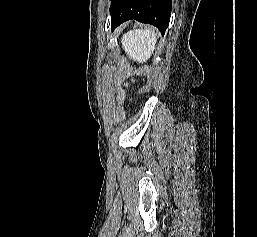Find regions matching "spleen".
<instances>
[{"mask_svg": "<svg viewBox=\"0 0 257 237\" xmlns=\"http://www.w3.org/2000/svg\"><path fill=\"white\" fill-rule=\"evenodd\" d=\"M156 42L157 33L149 28L130 30L122 38L125 52L139 63L146 62L151 57Z\"/></svg>", "mask_w": 257, "mask_h": 237, "instance_id": "3e777b00", "label": "spleen"}]
</instances>
